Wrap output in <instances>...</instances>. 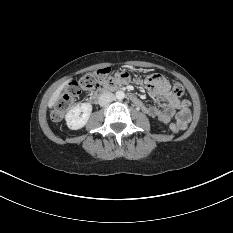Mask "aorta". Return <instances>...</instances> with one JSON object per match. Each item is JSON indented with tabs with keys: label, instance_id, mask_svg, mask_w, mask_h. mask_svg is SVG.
<instances>
[{
	"label": "aorta",
	"instance_id": "aorta-1",
	"mask_svg": "<svg viewBox=\"0 0 233 233\" xmlns=\"http://www.w3.org/2000/svg\"><path fill=\"white\" fill-rule=\"evenodd\" d=\"M124 97H125V93L123 91H117L116 92V98L118 100H122V99H124Z\"/></svg>",
	"mask_w": 233,
	"mask_h": 233
}]
</instances>
